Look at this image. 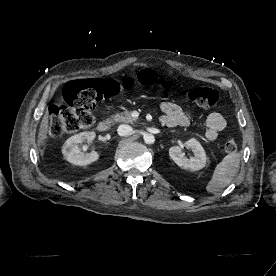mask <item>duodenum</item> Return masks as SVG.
Wrapping results in <instances>:
<instances>
[{"mask_svg": "<svg viewBox=\"0 0 276 276\" xmlns=\"http://www.w3.org/2000/svg\"><path fill=\"white\" fill-rule=\"evenodd\" d=\"M109 128H110V124L108 121H105V120L100 121L97 125V130L101 133L107 132Z\"/></svg>", "mask_w": 276, "mask_h": 276, "instance_id": "duodenum-1", "label": "duodenum"}]
</instances>
